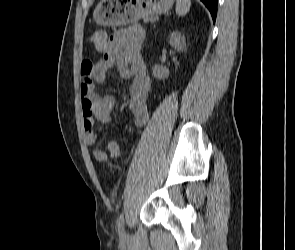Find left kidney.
<instances>
[{
    "label": "left kidney",
    "mask_w": 295,
    "mask_h": 250,
    "mask_svg": "<svg viewBox=\"0 0 295 250\" xmlns=\"http://www.w3.org/2000/svg\"><path fill=\"white\" fill-rule=\"evenodd\" d=\"M169 44L174 46L178 51L186 50V42L184 36L181 35L180 32L175 31L172 32L169 36ZM152 73L154 77L160 80H164L169 76V70L162 65H155L152 68Z\"/></svg>",
    "instance_id": "left-kidney-1"
}]
</instances>
